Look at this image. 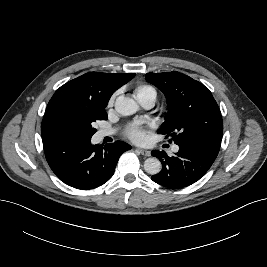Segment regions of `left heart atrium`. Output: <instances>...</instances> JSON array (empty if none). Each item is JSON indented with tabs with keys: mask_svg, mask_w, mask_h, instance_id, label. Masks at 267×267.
<instances>
[{
	"mask_svg": "<svg viewBox=\"0 0 267 267\" xmlns=\"http://www.w3.org/2000/svg\"><path fill=\"white\" fill-rule=\"evenodd\" d=\"M125 135L136 143H143L148 136L147 126L138 122L131 123L126 127Z\"/></svg>",
	"mask_w": 267,
	"mask_h": 267,
	"instance_id": "39dd6f15",
	"label": "left heart atrium"
}]
</instances>
